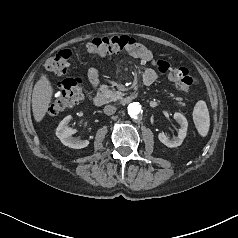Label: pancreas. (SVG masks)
<instances>
[{
    "mask_svg": "<svg viewBox=\"0 0 238 238\" xmlns=\"http://www.w3.org/2000/svg\"><path fill=\"white\" fill-rule=\"evenodd\" d=\"M101 95L106 97L109 101H117L123 98L124 94L120 91L115 90L113 87L107 85H101L99 88ZM169 97L175 100L179 105H184L182 98L174 97L172 93H169Z\"/></svg>",
    "mask_w": 238,
    "mask_h": 238,
    "instance_id": "pancreas-1",
    "label": "pancreas"
}]
</instances>
